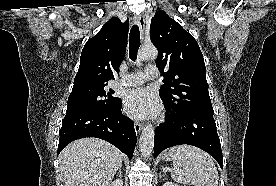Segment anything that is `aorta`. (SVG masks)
I'll use <instances>...</instances> for the list:
<instances>
[{"mask_svg":"<svg viewBox=\"0 0 276 186\" xmlns=\"http://www.w3.org/2000/svg\"><path fill=\"white\" fill-rule=\"evenodd\" d=\"M158 56V51L155 47H143L137 54V59L140 61L155 60ZM154 128L151 124L146 125L141 133L139 141V149L142 157L148 158L154 146Z\"/></svg>","mask_w":276,"mask_h":186,"instance_id":"aorta-1","label":"aorta"}]
</instances>
